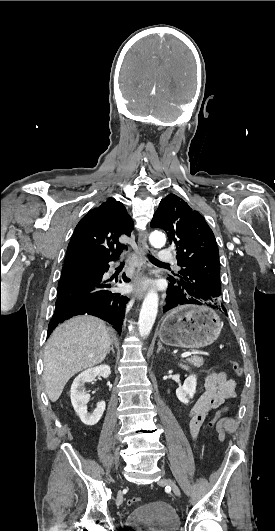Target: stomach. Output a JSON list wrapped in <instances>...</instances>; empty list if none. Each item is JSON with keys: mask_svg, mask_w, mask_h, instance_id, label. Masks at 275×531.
I'll return each mask as SVG.
<instances>
[{"mask_svg": "<svg viewBox=\"0 0 275 531\" xmlns=\"http://www.w3.org/2000/svg\"><path fill=\"white\" fill-rule=\"evenodd\" d=\"M223 323L200 301H181L180 307L169 311L161 321L159 339L169 347L201 349L217 341Z\"/></svg>", "mask_w": 275, "mask_h": 531, "instance_id": "stomach-1", "label": "stomach"}]
</instances>
